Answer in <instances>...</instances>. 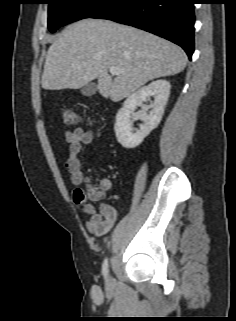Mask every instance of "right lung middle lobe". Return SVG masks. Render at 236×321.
Wrapping results in <instances>:
<instances>
[{
    "label": "right lung middle lobe",
    "mask_w": 236,
    "mask_h": 321,
    "mask_svg": "<svg viewBox=\"0 0 236 321\" xmlns=\"http://www.w3.org/2000/svg\"><path fill=\"white\" fill-rule=\"evenodd\" d=\"M111 0H47L48 28L55 32L60 26L88 18L104 8Z\"/></svg>",
    "instance_id": "1"
}]
</instances>
